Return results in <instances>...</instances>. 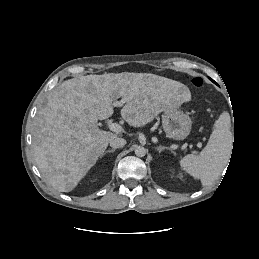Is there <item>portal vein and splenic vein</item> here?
<instances>
[{"instance_id":"obj_1","label":"portal vein and splenic vein","mask_w":259,"mask_h":259,"mask_svg":"<svg viewBox=\"0 0 259 259\" xmlns=\"http://www.w3.org/2000/svg\"><path fill=\"white\" fill-rule=\"evenodd\" d=\"M126 102H127V98H122L120 101H115L114 105L117 106V107H121ZM109 129L112 132H115L116 134H119L122 131V127L118 123H111L109 125Z\"/></svg>"}]
</instances>
